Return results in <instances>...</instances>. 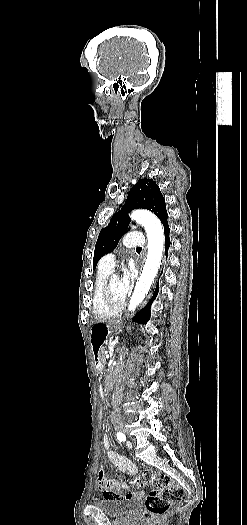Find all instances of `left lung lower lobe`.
Listing matches in <instances>:
<instances>
[{"instance_id":"1","label":"left lung lower lobe","mask_w":247,"mask_h":525,"mask_svg":"<svg viewBox=\"0 0 247 525\" xmlns=\"http://www.w3.org/2000/svg\"><path fill=\"white\" fill-rule=\"evenodd\" d=\"M167 218L168 217H166L162 221V224L164 226V233H165V254H166V256H167V252H168V249H169V246H170V238H169L170 229H169ZM158 292H159V284L157 283V286H156V289H155L153 297L151 298L149 303L133 319V321L139 322V323H146L149 320V318H150V307H151L152 302L156 298Z\"/></svg>"}]
</instances>
